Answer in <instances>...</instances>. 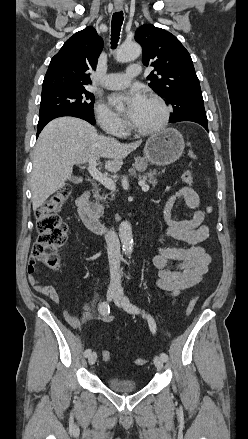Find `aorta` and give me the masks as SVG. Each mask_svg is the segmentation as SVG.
<instances>
[{"label": "aorta", "instance_id": "1", "mask_svg": "<svg viewBox=\"0 0 248 439\" xmlns=\"http://www.w3.org/2000/svg\"><path fill=\"white\" fill-rule=\"evenodd\" d=\"M141 47L137 43H125L116 51V60L118 62H128L135 60L141 54ZM119 238L124 253L130 256L133 252V235L132 226L129 222L123 221L119 226Z\"/></svg>", "mask_w": 248, "mask_h": 439}]
</instances>
